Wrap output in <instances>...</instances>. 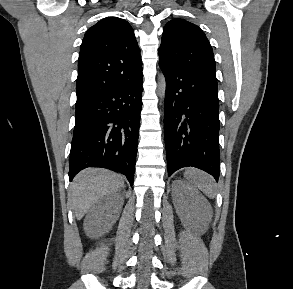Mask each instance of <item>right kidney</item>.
Segmentation results:
<instances>
[{"instance_id": "right-kidney-1", "label": "right kidney", "mask_w": 293, "mask_h": 289, "mask_svg": "<svg viewBox=\"0 0 293 289\" xmlns=\"http://www.w3.org/2000/svg\"><path fill=\"white\" fill-rule=\"evenodd\" d=\"M123 198L118 202L103 199L94 205L84 220V230L91 238H97L108 232L116 222ZM111 206V207H110Z\"/></svg>"}]
</instances>
